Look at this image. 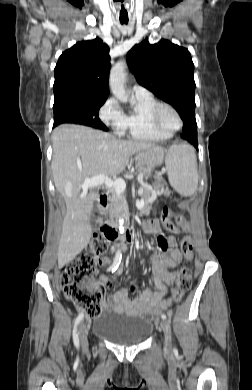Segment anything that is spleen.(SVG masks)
<instances>
[{
    "mask_svg": "<svg viewBox=\"0 0 252 390\" xmlns=\"http://www.w3.org/2000/svg\"><path fill=\"white\" fill-rule=\"evenodd\" d=\"M165 165L170 185L182 196L197 190L198 173L194 150L186 144L173 145L168 150Z\"/></svg>",
    "mask_w": 252,
    "mask_h": 390,
    "instance_id": "3e777b00",
    "label": "spleen"
}]
</instances>
